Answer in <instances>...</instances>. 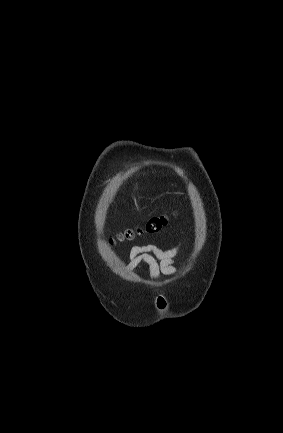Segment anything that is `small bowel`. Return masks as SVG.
<instances>
[{
  "label": "small bowel",
  "mask_w": 283,
  "mask_h": 433,
  "mask_svg": "<svg viewBox=\"0 0 283 433\" xmlns=\"http://www.w3.org/2000/svg\"><path fill=\"white\" fill-rule=\"evenodd\" d=\"M181 247L182 242L170 249H162L153 244L134 246L128 253V268L133 270L141 263L146 264L153 281L158 279L160 274L175 275L178 272L175 261Z\"/></svg>",
  "instance_id": "obj_1"
}]
</instances>
